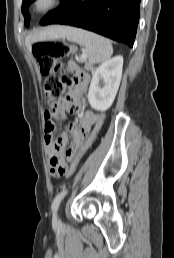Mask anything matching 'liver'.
<instances>
[{"label": "liver", "instance_id": "liver-1", "mask_svg": "<svg viewBox=\"0 0 174 258\" xmlns=\"http://www.w3.org/2000/svg\"><path fill=\"white\" fill-rule=\"evenodd\" d=\"M64 33H65V27H61V26L49 27L37 34L28 36L26 38V44L30 48V45L33 41L64 37Z\"/></svg>", "mask_w": 174, "mask_h": 258}]
</instances>
